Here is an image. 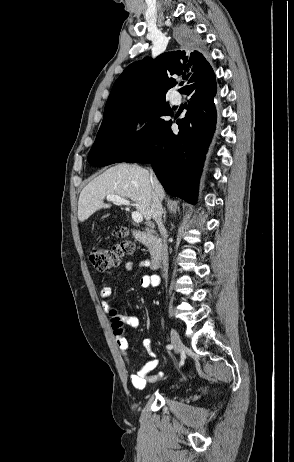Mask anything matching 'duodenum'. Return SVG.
<instances>
[{
    "mask_svg": "<svg viewBox=\"0 0 294 462\" xmlns=\"http://www.w3.org/2000/svg\"><path fill=\"white\" fill-rule=\"evenodd\" d=\"M133 236L138 240L140 243L147 246L151 251V267L153 269H159L162 265V258H163V248L161 243L159 242L158 238L156 237V233L154 228H146L144 230H132Z\"/></svg>",
    "mask_w": 294,
    "mask_h": 462,
    "instance_id": "duodenum-1",
    "label": "duodenum"
}]
</instances>
